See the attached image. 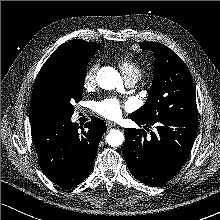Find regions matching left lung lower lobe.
<instances>
[{"instance_id":"0a47b994","label":"left lung lower lobe","mask_w":220,"mask_h":220,"mask_svg":"<svg viewBox=\"0 0 220 220\" xmlns=\"http://www.w3.org/2000/svg\"><path fill=\"white\" fill-rule=\"evenodd\" d=\"M139 126L156 125L147 138L144 130L124 129L123 150L132 175L142 183L157 186L171 180L185 164L198 129V118L167 115L154 123L130 116Z\"/></svg>"}]
</instances>
